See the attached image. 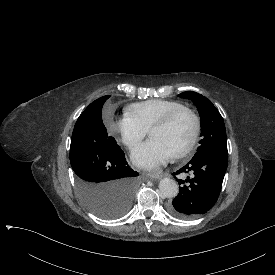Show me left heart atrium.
I'll use <instances>...</instances> for the list:
<instances>
[{"label": "left heart atrium", "mask_w": 275, "mask_h": 275, "mask_svg": "<svg viewBox=\"0 0 275 275\" xmlns=\"http://www.w3.org/2000/svg\"><path fill=\"white\" fill-rule=\"evenodd\" d=\"M172 158L171 150L157 139H150L133 155V161L144 168L165 165Z\"/></svg>", "instance_id": "left-heart-atrium-1"}]
</instances>
